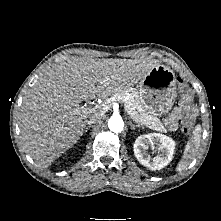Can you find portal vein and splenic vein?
<instances>
[{"instance_id":"18ae733b","label":"portal vein and splenic vein","mask_w":221,"mask_h":221,"mask_svg":"<svg viewBox=\"0 0 221 221\" xmlns=\"http://www.w3.org/2000/svg\"><path fill=\"white\" fill-rule=\"evenodd\" d=\"M107 110H108V103H103V104L95 105L93 108H91V107H83V106H81L79 108V111L84 113V114L91 113V114L103 115Z\"/></svg>"}]
</instances>
